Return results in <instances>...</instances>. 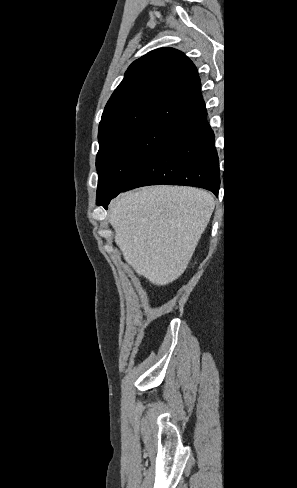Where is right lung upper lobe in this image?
Instances as JSON below:
<instances>
[{"label": "right lung upper lobe", "instance_id": "cb5924a9", "mask_svg": "<svg viewBox=\"0 0 297 488\" xmlns=\"http://www.w3.org/2000/svg\"><path fill=\"white\" fill-rule=\"evenodd\" d=\"M206 112L193 62L181 51L159 48L134 61L106 104L99 143L126 130H174Z\"/></svg>", "mask_w": 297, "mask_h": 488}]
</instances>
